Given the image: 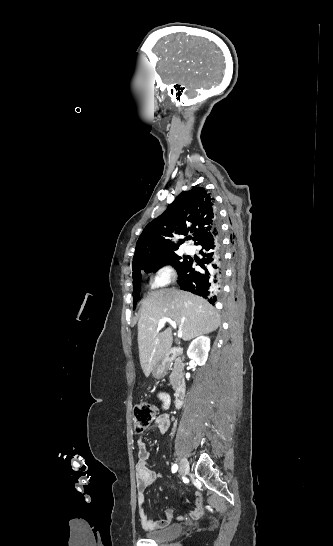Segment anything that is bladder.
Returning <instances> with one entry per match:
<instances>
[{"instance_id":"obj_1","label":"bladder","mask_w":333,"mask_h":546,"mask_svg":"<svg viewBox=\"0 0 333 546\" xmlns=\"http://www.w3.org/2000/svg\"><path fill=\"white\" fill-rule=\"evenodd\" d=\"M182 531V527L178 523H173L157 530H148L143 533L147 539L156 542H165L176 538Z\"/></svg>"}]
</instances>
